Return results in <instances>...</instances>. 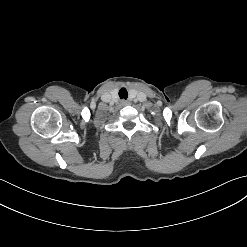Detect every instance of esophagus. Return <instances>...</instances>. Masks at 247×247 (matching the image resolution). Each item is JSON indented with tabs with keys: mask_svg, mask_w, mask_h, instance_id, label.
<instances>
[{
	"mask_svg": "<svg viewBox=\"0 0 247 247\" xmlns=\"http://www.w3.org/2000/svg\"><path fill=\"white\" fill-rule=\"evenodd\" d=\"M128 103H129V102L126 101V100H122V101H121V104H122V105H127Z\"/></svg>",
	"mask_w": 247,
	"mask_h": 247,
	"instance_id": "esophagus-1",
	"label": "esophagus"
}]
</instances>
